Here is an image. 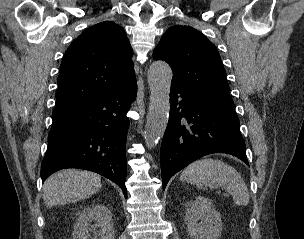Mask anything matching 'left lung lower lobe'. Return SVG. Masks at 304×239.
<instances>
[{
	"instance_id": "obj_1",
	"label": "left lung lower lobe",
	"mask_w": 304,
	"mask_h": 239,
	"mask_svg": "<svg viewBox=\"0 0 304 239\" xmlns=\"http://www.w3.org/2000/svg\"><path fill=\"white\" fill-rule=\"evenodd\" d=\"M170 105L169 122L161 145L163 189L175 173L208 154H231L248 165L234 108L172 85Z\"/></svg>"
}]
</instances>
